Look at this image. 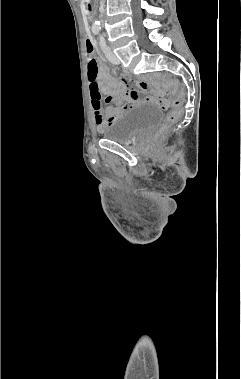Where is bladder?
<instances>
[{
  "instance_id": "31cf9c89",
  "label": "bladder",
  "mask_w": 241,
  "mask_h": 379,
  "mask_svg": "<svg viewBox=\"0 0 241 379\" xmlns=\"http://www.w3.org/2000/svg\"><path fill=\"white\" fill-rule=\"evenodd\" d=\"M162 119L161 111L151 104H138L122 113L102 131L105 139L128 143L154 129Z\"/></svg>"
}]
</instances>
